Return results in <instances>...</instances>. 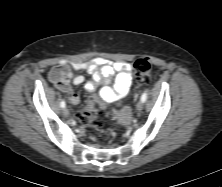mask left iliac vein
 Instances as JSON below:
<instances>
[{
  "label": "left iliac vein",
  "mask_w": 222,
  "mask_h": 187,
  "mask_svg": "<svg viewBox=\"0 0 222 187\" xmlns=\"http://www.w3.org/2000/svg\"><path fill=\"white\" fill-rule=\"evenodd\" d=\"M136 108H137V110H138L139 112H141V111L143 110V108H144V102H143V101H139V102L137 103Z\"/></svg>",
  "instance_id": "1"
}]
</instances>
